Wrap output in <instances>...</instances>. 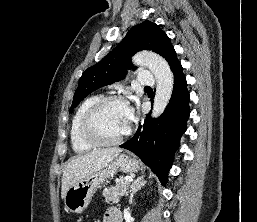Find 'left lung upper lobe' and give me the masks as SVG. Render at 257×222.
<instances>
[{
	"mask_svg": "<svg viewBox=\"0 0 257 222\" xmlns=\"http://www.w3.org/2000/svg\"><path fill=\"white\" fill-rule=\"evenodd\" d=\"M141 50L160 54L169 65L177 60L176 52L164 31L157 24L144 21L130 29L104 59L82 74L70 111L94 90L123 79L127 69L132 66L131 56Z\"/></svg>",
	"mask_w": 257,
	"mask_h": 222,
	"instance_id": "5c2ea615",
	"label": "left lung upper lobe"
}]
</instances>
